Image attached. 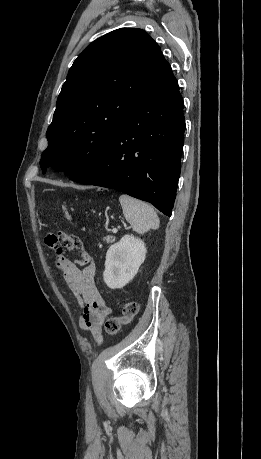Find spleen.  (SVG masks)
I'll use <instances>...</instances> for the list:
<instances>
[{
	"mask_svg": "<svg viewBox=\"0 0 261 459\" xmlns=\"http://www.w3.org/2000/svg\"><path fill=\"white\" fill-rule=\"evenodd\" d=\"M119 201L125 219L135 232L143 234L150 229L159 228L158 215L150 205L126 194H122Z\"/></svg>",
	"mask_w": 261,
	"mask_h": 459,
	"instance_id": "1",
	"label": "spleen"
}]
</instances>
